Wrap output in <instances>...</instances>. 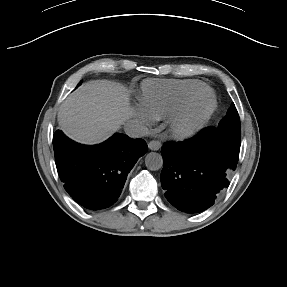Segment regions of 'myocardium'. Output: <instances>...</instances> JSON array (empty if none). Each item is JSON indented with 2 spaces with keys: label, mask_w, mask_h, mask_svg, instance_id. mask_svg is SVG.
I'll list each match as a JSON object with an SVG mask.
<instances>
[{
  "label": "myocardium",
  "mask_w": 287,
  "mask_h": 287,
  "mask_svg": "<svg viewBox=\"0 0 287 287\" xmlns=\"http://www.w3.org/2000/svg\"><path fill=\"white\" fill-rule=\"evenodd\" d=\"M202 95L210 98L207 109L197 117H190V109L193 103ZM217 107V99L209 87L198 89L188 95L177 110L170 116V131L177 139H186L195 135L209 121Z\"/></svg>",
  "instance_id": "myocardium-1"
}]
</instances>
